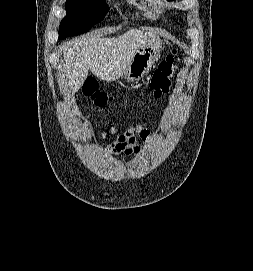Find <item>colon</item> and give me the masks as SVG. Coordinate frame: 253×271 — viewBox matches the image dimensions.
I'll use <instances>...</instances> for the list:
<instances>
[{"mask_svg":"<svg viewBox=\"0 0 253 271\" xmlns=\"http://www.w3.org/2000/svg\"><path fill=\"white\" fill-rule=\"evenodd\" d=\"M175 57L176 50H172L154 72L149 83V90L154 97L158 98L169 92L177 69ZM83 92L95 105L103 106L107 102V96L98 90V85L92 78L85 80Z\"/></svg>","mask_w":253,"mask_h":271,"instance_id":"colon-1","label":"colon"}]
</instances>
